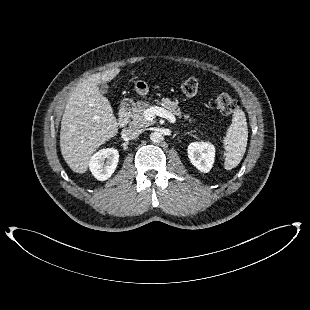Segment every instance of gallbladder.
Returning <instances> with one entry per match:
<instances>
[{
    "label": "gallbladder",
    "instance_id": "gallbladder-1",
    "mask_svg": "<svg viewBox=\"0 0 310 310\" xmlns=\"http://www.w3.org/2000/svg\"><path fill=\"white\" fill-rule=\"evenodd\" d=\"M97 87L102 94H105L108 91V85L106 82H103V81L99 82L97 84Z\"/></svg>",
    "mask_w": 310,
    "mask_h": 310
}]
</instances>
